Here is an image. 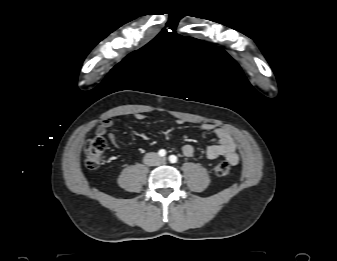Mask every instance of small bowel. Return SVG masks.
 I'll return each instance as SVG.
<instances>
[{"label":"small bowel","mask_w":337,"mask_h":261,"mask_svg":"<svg viewBox=\"0 0 337 261\" xmlns=\"http://www.w3.org/2000/svg\"><path fill=\"white\" fill-rule=\"evenodd\" d=\"M133 117L137 120H144L146 118L143 113H136ZM178 123L182 124L184 121L178 120ZM113 125L114 119L112 117L105 118L96 128L97 135H107L111 142H115L116 136L113 133H109V129ZM200 128L204 131L211 132L215 136V142L206 149L207 158L216 159L222 156L225 157L231 165H236L239 162L236 142L227 130L217 127L211 123H203L200 125ZM182 152L185 156L190 157L194 154L195 149L191 144H185L182 147Z\"/></svg>","instance_id":"c3829d8e"}]
</instances>
